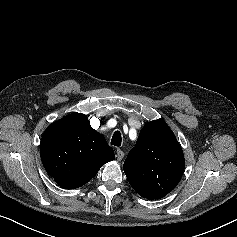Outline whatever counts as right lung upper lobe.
<instances>
[{
    "mask_svg": "<svg viewBox=\"0 0 237 237\" xmlns=\"http://www.w3.org/2000/svg\"><path fill=\"white\" fill-rule=\"evenodd\" d=\"M40 156L44 168L62 188L83 186L101 166L114 159L104 136L93 129L84 114L71 113L43 133Z\"/></svg>",
    "mask_w": 237,
    "mask_h": 237,
    "instance_id": "obj_1",
    "label": "right lung upper lobe"
}]
</instances>
